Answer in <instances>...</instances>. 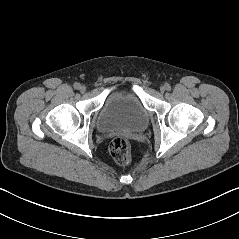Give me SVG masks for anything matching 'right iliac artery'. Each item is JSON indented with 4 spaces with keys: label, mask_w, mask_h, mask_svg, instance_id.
Instances as JSON below:
<instances>
[{
    "label": "right iliac artery",
    "mask_w": 239,
    "mask_h": 239,
    "mask_svg": "<svg viewBox=\"0 0 239 239\" xmlns=\"http://www.w3.org/2000/svg\"><path fill=\"white\" fill-rule=\"evenodd\" d=\"M73 86H74L75 89H79L80 88V84L79 83H75Z\"/></svg>",
    "instance_id": "obj_1"
}]
</instances>
